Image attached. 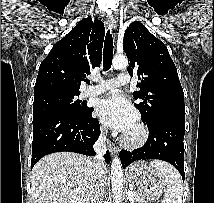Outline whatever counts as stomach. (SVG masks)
Returning <instances> with one entry per match:
<instances>
[{"label": "stomach", "instance_id": "stomach-1", "mask_svg": "<svg viewBox=\"0 0 214 203\" xmlns=\"http://www.w3.org/2000/svg\"><path fill=\"white\" fill-rule=\"evenodd\" d=\"M127 178L134 189L135 203H151L158 200L166 191L164 176L144 161L131 165Z\"/></svg>", "mask_w": 214, "mask_h": 203}]
</instances>
